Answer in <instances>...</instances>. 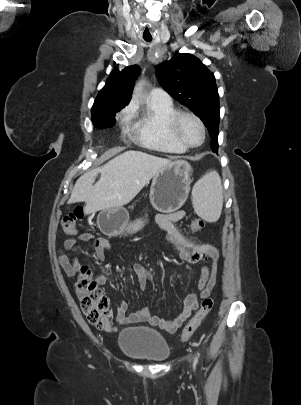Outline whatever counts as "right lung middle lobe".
<instances>
[{
  "label": "right lung middle lobe",
  "instance_id": "right-lung-middle-lobe-1",
  "mask_svg": "<svg viewBox=\"0 0 301 405\" xmlns=\"http://www.w3.org/2000/svg\"><path fill=\"white\" fill-rule=\"evenodd\" d=\"M118 110H104V109H92V122L96 127L106 128L112 127L116 120V113Z\"/></svg>",
  "mask_w": 301,
  "mask_h": 405
}]
</instances>
